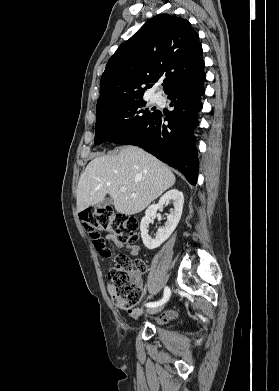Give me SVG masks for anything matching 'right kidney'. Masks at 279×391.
Wrapping results in <instances>:
<instances>
[{
    "instance_id": "obj_1",
    "label": "right kidney",
    "mask_w": 279,
    "mask_h": 391,
    "mask_svg": "<svg viewBox=\"0 0 279 391\" xmlns=\"http://www.w3.org/2000/svg\"><path fill=\"white\" fill-rule=\"evenodd\" d=\"M169 202L173 203L174 208L171 209L170 214L167 215V221L165 223V226L163 228L158 229L155 234V237L152 238L148 233L149 224L155 217L157 210L162 209L163 206ZM183 204V193L177 189H171L159 199L157 204H153L148 207L145 212V216L142 218L140 224L141 238L144 245L148 249H155L159 247L164 241H166L170 237L181 219Z\"/></svg>"
}]
</instances>
